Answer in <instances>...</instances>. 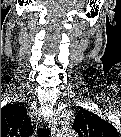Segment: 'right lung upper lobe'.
I'll list each match as a JSON object with an SVG mask.
<instances>
[{"mask_svg":"<svg viewBox=\"0 0 121 137\" xmlns=\"http://www.w3.org/2000/svg\"><path fill=\"white\" fill-rule=\"evenodd\" d=\"M32 125L27 116V110L19 104H7L1 108V136L29 135Z\"/></svg>","mask_w":121,"mask_h":137,"instance_id":"right-lung-upper-lobe-1","label":"right lung upper lobe"}]
</instances>
